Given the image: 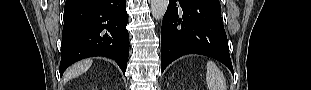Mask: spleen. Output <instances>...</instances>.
<instances>
[{"label": "spleen", "mask_w": 311, "mask_h": 90, "mask_svg": "<svg viewBox=\"0 0 311 90\" xmlns=\"http://www.w3.org/2000/svg\"><path fill=\"white\" fill-rule=\"evenodd\" d=\"M206 81L209 90H227L223 73L212 61L207 63Z\"/></svg>", "instance_id": "spleen-1"}]
</instances>
